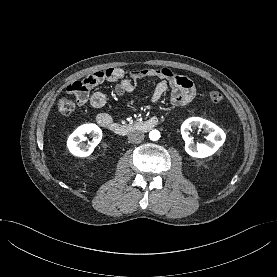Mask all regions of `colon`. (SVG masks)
<instances>
[{"instance_id": "obj_1", "label": "colon", "mask_w": 277, "mask_h": 277, "mask_svg": "<svg viewBox=\"0 0 277 277\" xmlns=\"http://www.w3.org/2000/svg\"><path fill=\"white\" fill-rule=\"evenodd\" d=\"M74 90L78 92L85 90V87L82 81H77V84L74 87ZM207 97H208V101L213 105L220 104L224 99V95L222 94V92L218 90L210 91ZM57 107H58V111L62 115H69L75 110L76 105L72 100L67 98H62L58 101Z\"/></svg>"}]
</instances>
